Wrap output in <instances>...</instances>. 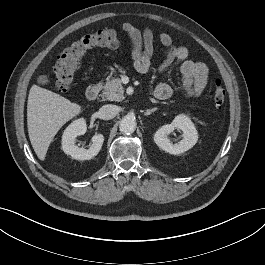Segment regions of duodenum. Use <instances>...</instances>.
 Returning a JSON list of instances; mask_svg holds the SVG:
<instances>
[{
    "instance_id": "410a0bca",
    "label": "duodenum",
    "mask_w": 265,
    "mask_h": 265,
    "mask_svg": "<svg viewBox=\"0 0 265 265\" xmlns=\"http://www.w3.org/2000/svg\"><path fill=\"white\" fill-rule=\"evenodd\" d=\"M100 87L97 84L90 85L86 90V97L89 100H95L98 97Z\"/></svg>"
}]
</instances>
